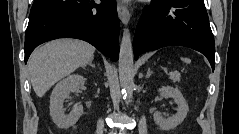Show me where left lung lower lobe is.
<instances>
[{"label":"left lung lower lobe","instance_id":"obj_1","mask_svg":"<svg viewBox=\"0 0 239 134\" xmlns=\"http://www.w3.org/2000/svg\"><path fill=\"white\" fill-rule=\"evenodd\" d=\"M174 45L203 53L214 70V37L204 0H153L145 7L133 41L135 59L141 53Z\"/></svg>","mask_w":239,"mask_h":134}]
</instances>
